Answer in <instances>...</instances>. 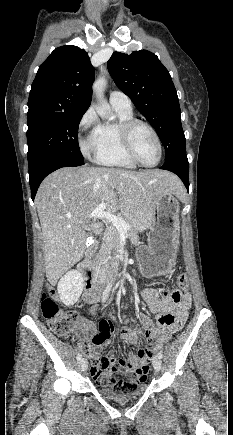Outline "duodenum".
<instances>
[{"instance_id": "410a0bca", "label": "duodenum", "mask_w": 233, "mask_h": 435, "mask_svg": "<svg viewBox=\"0 0 233 435\" xmlns=\"http://www.w3.org/2000/svg\"><path fill=\"white\" fill-rule=\"evenodd\" d=\"M97 249L98 243H92V245L87 250L84 260L79 265V270L87 277L84 300L89 304L102 299V292L97 286L100 272L99 269L92 263L93 254L97 251ZM120 273L121 265H118L107 273L106 278L108 280L117 278Z\"/></svg>"}]
</instances>
